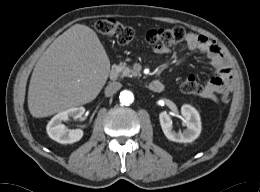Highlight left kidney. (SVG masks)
<instances>
[{
	"label": "left kidney",
	"instance_id": "left-kidney-1",
	"mask_svg": "<svg viewBox=\"0 0 260 192\" xmlns=\"http://www.w3.org/2000/svg\"><path fill=\"white\" fill-rule=\"evenodd\" d=\"M181 114L185 119L187 127L183 132L173 130L171 116L166 111L159 114L160 125L167 139L179 143H190L197 139L201 133L200 115L194 107L188 104H184L181 107Z\"/></svg>",
	"mask_w": 260,
	"mask_h": 192
}]
</instances>
